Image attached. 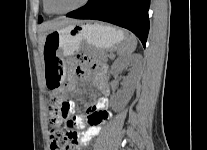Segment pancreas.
I'll list each match as a JSON object with an SVG mask.
<instances>
[{"mask_svg":"<svg viewBox=\"0 0 207 150\" xmlns=\"http://www.w3.org/2000/svg\"><path fill=\"white\" fill-rule=\"evenodd\" d=\"M108 56H109V55L106 53V54L102 57L101 60H102V61H106V60L108 59Z\"/></svg>","mask_w":207,"mask_h":150,"instance_id":"cf45deb5","label":"pancreas"}]
</instances>
